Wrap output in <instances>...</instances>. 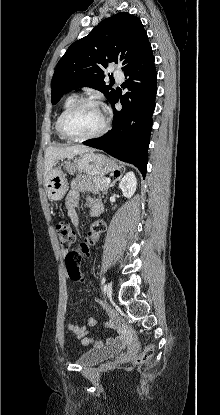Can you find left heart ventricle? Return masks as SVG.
Here are the masks:
<instances>
[{
  "mask_svg": "<svg viewBox=\"0 0 220 415\" xmlns=\"http://www.w3.org/2000/svg\"><path fill=\"white\" fill-rule=\"evenodd\" d=\"M103 121V113L98 107L85 105L69 116L66 130L72 136H88L96 133L102 127Z\"/></svg>",
  "mask_w": 220,
  "mask_h": 415,
  "instance_id": "left-heart-ventricle-1",
  "label": "left heart ventricle"
}]
</instances>
